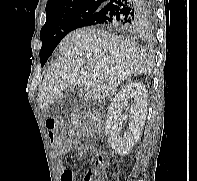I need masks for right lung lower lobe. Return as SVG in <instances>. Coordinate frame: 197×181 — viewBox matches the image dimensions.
Instances as JSON below:
<instances>
[{
    "instance_id": "obj_1",
    "label": "right lung lower lobe",
    "mask_w": 197,
    "mask_h": 181,
    "mask_svg": "<svg viewBox=\"0 0 197 181\" xmlns=\"http://www.w3.org/2000/svg\"><path fill=\"white\" fill-rule=\"evenodd\" d=\"M154 0H109L95 14L85 19L80 27L105 25L126 31L145 27L153 17Z\"/></svg>"
}]
</instances>
